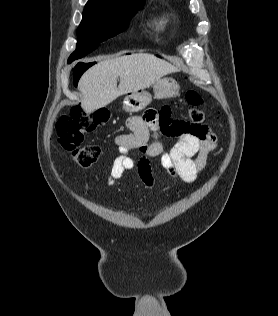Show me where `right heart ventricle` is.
I'll return each instance as SVG.
<instances>
[{
  "label": "right heart ventricle",
  "mask_w": 278,
  "mask_h": 316,
  "mask_svg": "<svg viewBox=\"0 0 278 316\" xmlns=\"http://www.w3.org/2000/svg\"><path fill=\"white\" fill-rule=\"evenodd\" d=\"M171 22V18L170 16L168 15H162L160 16L157 21L155 22V25L158 27V28H164L166 27L169 23Z\"/></svg>",
  "instance_id": "obj_1"
}]
</instances>
